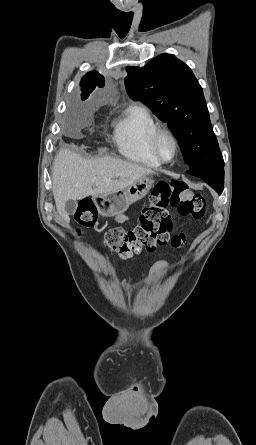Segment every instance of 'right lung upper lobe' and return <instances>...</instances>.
Segmentation results:
<instances>
[{
	"mask_svg": "<svg viewBox=\"0 0 256 445\" xmlns=\"http://www.w3.org/2000/svg\"><path fill=\"white\" fill-rule=\"evenodd\" d=\"M105 85V79L96 71L87 73L80 82L81 99L86 100L95 87L102 88Z\"/></svg>",
	"mask_w": 256,
	"mask_h": 445,
	"instance_id": "right-lung-upper-lobe-1",
	"label": "right lung upper lobe"
}]
</instances>
